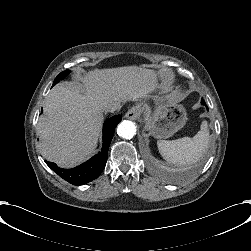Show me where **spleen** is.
Returning a JSON list of instances; mask_svg holds the SVG:
<instances>
[{
	"instance_id": "3e777b00",
	"label": "spleen",
	"mask_w": 251,
	"mask_h": 251,
	"mask_svg": "<svg viewBox=\"0 0 251 251\" xmlns=\"http://www.w3.org/2000/svg\"><path fill=\"white\" fill-rule=\"evenodd\" d=\"M209 127L206 120L202 121L197 134L177 140H158L157 146L162 157L169 163L191 165L196 163L209 146Z\"/></svg>"
}]
</instances>
